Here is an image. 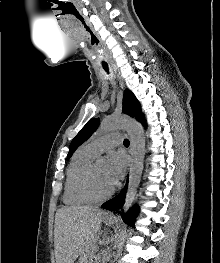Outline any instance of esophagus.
<instances>
[{
    "instance_id": "34e87169",
    "label": "esophagus",
    "mask_w": 220,
    "mask_h": 263,
    "mask_svg": "<svg viewBox=\"0 0 220 263\" xmlns=\"http://www.w3.org/2000/svg\"><path fill=\"white\" fill-rule=\"evenodd\" d=\"M118 80H119L120 87L123 89L124 88V84H123V82H122V80L120 79L119 76H118ZM105 216L106 217H112L113 216V212L107 211V212H105Z\"/></svg>"
}]
</instances>
